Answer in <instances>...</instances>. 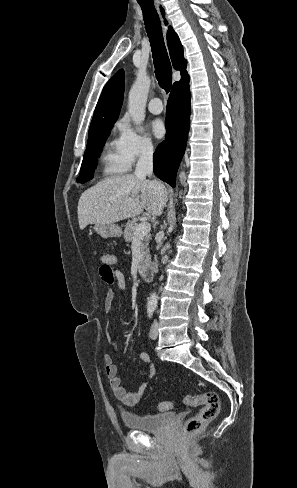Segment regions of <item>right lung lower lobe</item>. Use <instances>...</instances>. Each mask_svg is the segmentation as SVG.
Instances as JSON below:
<instances>
[{
    "instance_id": "98d812e1",
    "label": "right lung lower lobe",
    "mask_w": 297,
    "mask_h": 488,
    "mask_svg": "<svg viewBox=\"0 0 297 488\" xmlns=\"http://www.w3.org/2000/svg\"><path fill=\"white\" fill-rule=\"evenodd\" d=\"M190 118L189 78L175 82L166 110V137L154 153L153 167L158 178L175 187L176 172L183 157Z\"/></svg>"
}]
</instances>
